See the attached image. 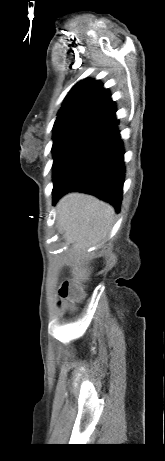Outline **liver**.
<instances>
[{
  "label": "liver",
  "instance_id": "liver-1",
  "mask_svg": "<svg viewBox=\"0 0 165 461\" xmlns=\"http://www.w3.org/2000/svg\"><path fill=\"white\" fill-rule=\"evenodd\" d=\"M59 230L73 259V276L77 281L88 280L87 250L100 244L109 234L114 220V208L91 196L77 192L62 197L56 206Z\"/></svg>",
  "mask_w": 165,
  "mask_h": 461
}]
</instances>
